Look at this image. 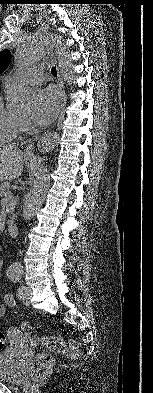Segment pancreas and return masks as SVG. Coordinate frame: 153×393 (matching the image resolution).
<instances>
[{
    "instance_id": "1",
    "label": "pancreas",
    "mask_w": 153,
    "mask_h": 393,
    "mask_svg": "<svg viewBox=\"0 0 153 393\" xmlns=\"http://www.w3.org/2000/svg\"><path fill=\"white\" fill-rule=\"evenodd\" d=\"M11 184L9 181H5L0 185V197L5 198L10 192Z\"/></svg>"
}]
</instances>
